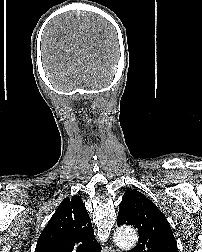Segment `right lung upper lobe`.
Segmentation results:
<instances>
[{
	"label": "right lung upper lobe",
	"mask_w": 202,
	"mask_h": 252,
	"mask_svg": "<svg viewBox=\"0 0 202 252\" xmlns=\"http://www.w3.org/2000/svg\"><path fill=\"white\" fill-rule=\"evenodd\" d=\"M35 252H101L79 196L61 202L39 236Z\"/></svg>",
	"instance_id": "cb5924a9"
}]
</instances>
